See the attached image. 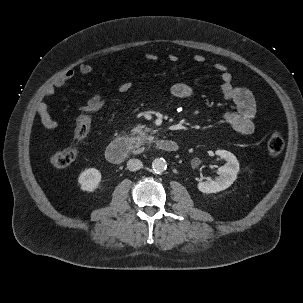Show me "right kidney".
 <instances>
[{"mask_svg": "<svg viewBox=\"0 0 303 303\" xmlns=\"http://www.w3.org/2000/svg\"><path fill=\"white\" fill-rule=\"evenodd\" d=\"M101 173L95 168L82 171L78 177V183L83 191L94 192L101 181Z\"/></svg>", "mask_w": 303, "mask_h": 303, "instance_id": "obj_1", "label": "right kidney"}]
</instances>
